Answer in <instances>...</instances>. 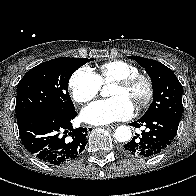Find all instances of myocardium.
Wrapping results in <instances>:
<instances>
[{"instance_id": "f54148a6", "label": "myocardium", "mask_w": 196, "mask_h": 196, "mask_svg": "<svg viewBox=\"0 0 196 196\" xmlns=\"http://www.w3.org/2000/svg\"><path fill=\"white\" fill-rule=\"evenodd\" d=\"M113 85H118L123 88H131L138 83H143L145 86V95L143 99L135 106L137 109L146 108L152 101L154 96V84L152 79L145 74L137 73L124 78L117 79L112 82Z\"/></svg>"}]
</instances>
